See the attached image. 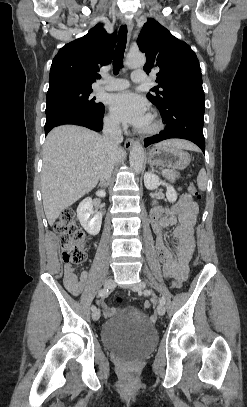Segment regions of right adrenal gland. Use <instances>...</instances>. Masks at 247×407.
<instances>
[{
    "instance_id": "1",
    "label": "right adrenal gland",
    "mask_w": 247,
    "mask_h": 407,
    "mask_svg": "<svg viewBox=\"0 0 247 407\" xmlns=\"http://www.w3.org/2000/svg\"><path fill=\"white\" fill-rule=\"evenodd\" d=\"M108 185H109V182H107V183H100V184H99L100 187H107Z\"/></svg>"
}]
</instances>
